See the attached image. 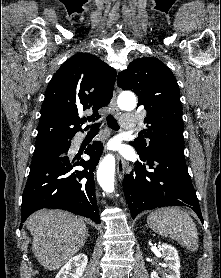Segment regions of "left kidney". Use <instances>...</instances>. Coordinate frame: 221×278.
Instances as JSON below:
<instances>
[{"instance_id":"1","label":"left kidney","mask_w":221,"mask_h":278,"mask_svg":"<svg viewBox=\"0 0 221 278\" xmlns=\"http://www.w3.org/2000/svg\"><path fill=\"white\" fill-rule=\"evenodd\" d=\"M150 243V242H149ZM160 250L165 257L167 264L169 267L168 274H166V278H180V259L176 248L171 245L163 243L160 246ZM151 278H160L156 271H152Z\"/></svg>"}]
</instances>
